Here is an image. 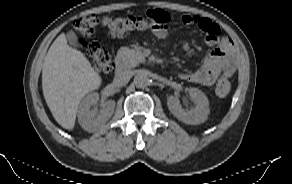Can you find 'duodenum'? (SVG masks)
<instances>
[{
    "mask_svg": "<svg viewBox=\"0 0 292 184\" xmlns=\"http://www.w3.org/2000/svg\"><path fill=\"white\" fill-rule=\"evenodd\" d=\"M123 65H124V63H123L122 58L120 56H117L115 58V68H116V70L121 72L122 69H123Z\"/></svg>",
    "mask_w": 292,
    "mask_h": 184,
    "instance_id": "410a0bca",
    "label": "duodenum"
}]
</instances>
